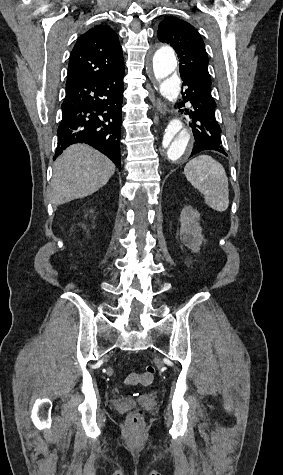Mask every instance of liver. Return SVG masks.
<instances>
[{
  "label": "liver",
  "instance_id": "1",
  "mask_svg": "<svg viewBox=\"0 0 283 475\" xmlns=\"http://www.w3.org/2000/svg\"><path fill=\"white\" fill-rule=\"evenodd\" d=\"M115 172L107 156L87 144H74L64 150L53 166L52 204H66L86 198L105 186Z\"/></svg>",
  "mask_w": 283,
  "mask_h": 475
}]
</instances>
